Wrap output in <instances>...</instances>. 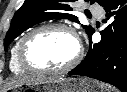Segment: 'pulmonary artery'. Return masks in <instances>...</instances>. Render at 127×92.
Instances as JSON below:
<instances>
[{
  "mask_svg": "<svg viewBox=\"0 0 127 92\" xmlns=\"http://www.w3.org/2000/svg\"><path fill=\"white\" fill-rule=\"evenodd\" d=\"M91 11L94 15H96L97 17H101L103 12L101 9H98V8H95V7H92L91 8Z\"/></svg>",
  "mask_w": 127,
  "mask_h": 92,
  "instance_id": "pulmonary-artery-1",
  "label": "pulmonary artery"
}]
</instances>
